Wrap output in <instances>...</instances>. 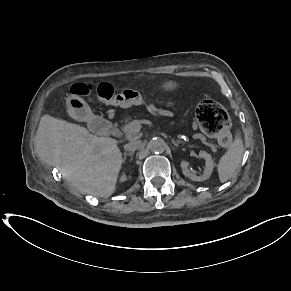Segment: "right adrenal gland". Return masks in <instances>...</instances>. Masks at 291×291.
<instances>
[{
	"instance_id": "right-adrenal-gland-1",
	"label": "right adrenal gland",
	"mask_w": 291,
	"mask_h": 291,
	"mask_svg": "<svg viewBox=\"0 0 291 291\" xmlns=\"http://www.w3.org/2000/svg\"><path fill=\"white\" fill-rule=\"evenodd\" d=\"M133 155H134V152H124L123 162H125L127 156H131L132 157Z\"/></svg>"
}]
</instances>
